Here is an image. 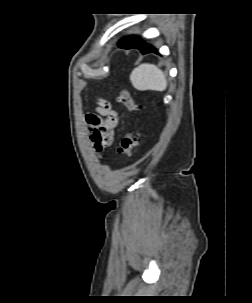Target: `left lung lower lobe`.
<instances>
[{
	"label": "left lung lower lobe",
	"instance_id": "0a47b994",
	"mask_svg": "<svg viewBox=\"0 0 252 303\" xmlns=\"http://www.w3.org/2000/svg\"><path fill=\"white\" fill-rule=\"evenodd\" d=\"M119 47L125 49L135 48L140 50L142 54H146L149 52H154L158 54L157 50L154 47L147 45L140 38L134 36H130L124 39L122 42H120Z\"/></svg>",
	"mask_w": 252,
	"mask_h": 303
}]
</instances>
